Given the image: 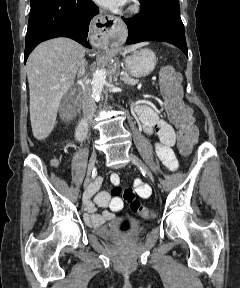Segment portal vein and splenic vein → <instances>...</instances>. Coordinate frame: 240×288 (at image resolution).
<instances>
[{
  "mask_svg": "<svg viewBox=\"0 0 240 288\" xmlns=\"http://www.w3.org/2000/svg\"><path fill=\"white\" fill-rule=\"evenodd\" d=\"M121 75H123V76H124V75H127V73H121Z\"/></svg>",
  "mask_w": 240,
  "mask_h": 288,
  "instance_id": "18ae733b",
  "label": "portal vein and splenic vein"
}]
</instances>
